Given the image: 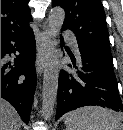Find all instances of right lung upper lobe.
<instances>
[{"label": "right lung upper lobe", "instance_id": "right-lung-upper-lobe-1", "mask_svg": "<svg viewBox=\"0 0 123 130\" xmlns=\"http://www.w3.org/2000/svg\"><path fill=\"white\" fill-rule=\"evenodd\" d=\"M29 0H1V37L21 34L30 29Z\"/></svg>", "mask_w": 123, "mask_h": 130}]
</instances>
